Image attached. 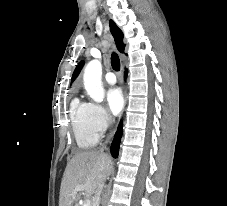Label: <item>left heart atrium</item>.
Instances as JSON below:
<instances>
[{
    "instance_id": "obj_1",
    "label": "left heart atrium",
    "mask_w": 227,
    "mask_h": 206,
    "mask_svg": "<svg viewBox=\"0 0 227 206\" xmlns=\"http://www.w3.org/2000/svg\"><path fill=\"white\" fill-rule=\"evenodd\" d=\"M107 105L113 115L120 113L124 106V98L120 88H111L107 92Z\"/></svg>"
}]
</instances>
